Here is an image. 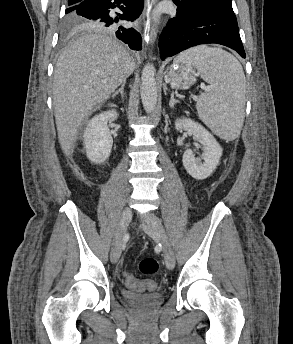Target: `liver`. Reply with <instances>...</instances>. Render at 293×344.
<instances>
[{"instance_id":"liver-1","label":"liver","mask_w":293,"mask_h":344,"mask_svg":"<svg viewBox=\"0 0 293 344\" xmlns=\"http://www.w3.org/2000/svg\"><path fill=\"white\" fill-rule=\"evenodd\" d=\"M134 68L135 62L126 49L100 33L82 35L61 53L54 72L53 104L64 154L73 153L84 120L126 81Z\"/></svg>"}]
</instances>
